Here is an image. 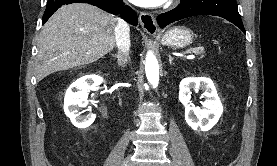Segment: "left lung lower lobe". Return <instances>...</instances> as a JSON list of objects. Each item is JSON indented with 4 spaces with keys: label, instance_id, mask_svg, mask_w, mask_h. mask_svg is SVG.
<instances>
[{
    "label": "left lung lower lobe",
    "instance_id": "1",
    "mask_svg": "<svg viewBox=\"0 0 277 166\" xmlns=\"http://www.w3.org/2000/svg\"><path fill=\"white\" fill-rule=\"evenodd\" d=\"M197 15H214L225 18L245 33L236 0H181L175 9L160 14L157 22L160 27H165L175 21Z\"/></svg>",
    "mask_w": 277,
    "mask_h": 166
}]
</instances>
